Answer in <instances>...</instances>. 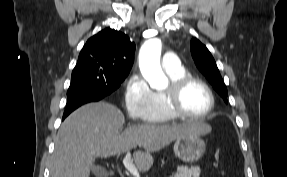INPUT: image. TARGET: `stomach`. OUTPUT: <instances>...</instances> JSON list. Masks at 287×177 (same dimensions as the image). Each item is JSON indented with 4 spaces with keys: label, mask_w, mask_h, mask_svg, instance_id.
I'll return each instance as SVG.
<instances>
[{
    "label": "stomach",
    "mask_w": 287,
    "mask_h": 177,
    "mask_svg": "<svg viewBox=\"0 0 287 177\" xmlns=\"http://www.w3.org/2000/svg\"><path fill=\"white\" fill-rule=\"evenodd\" d=\"M206 145L201 134H187L179 137L174 143V153L183 162L198 161L204 154Z\"/></svg>",
    "instance_id": "obj_1"
}]
</instances>
